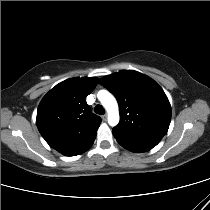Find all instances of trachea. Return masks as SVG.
<instances>
[{
	"instance_id": "trachea-1",
	"label": "trachea",
	"mask_w": 210,
	"mask_h": 210,
	"mask_svg": "<svg viewBox=\"0 0 210 210\" xmlns=\"http://www.w3.org/2000/svg\"><path fill=\"white\" fill-rule=\"evenodd\" d=\"M95 113L99 114V115H103L105 114V110L101 105H96L94 108Z\"/></svg>"
}]
</instances>
